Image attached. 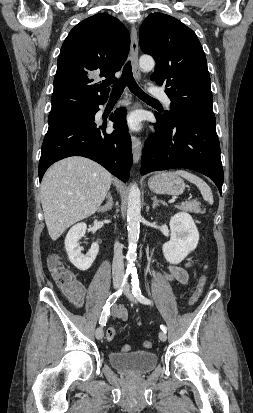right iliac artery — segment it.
Returning a JSON list of instances; mask_svg holds the SVG:
<instances>
[{"mask_svg":"<svg viewBox=\"0 0 253 413\" xmlns=\"http://www.w3.org/2000/svg\"><path fill=\"white\" fill-rule=\"evenodd\" d=\"M128 279V274L125 275L124 279H123V283H122V287L116 291L115 293H113L106 301L105 306L103 307V311L101 313L100 316V320H99V324L103 327L104 325H106L107 322V317L110 314V307L116 302V300L118 299V297L122 294L125 283L127 282Z\"/></svg>","mask_w":253,"mask_h":413,"instance_id":"1","label":"right iliac artery"}]
</instances>
